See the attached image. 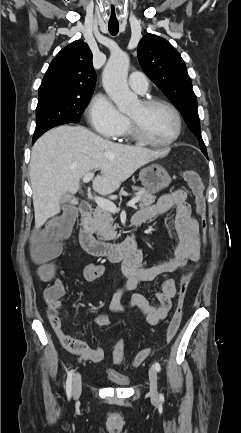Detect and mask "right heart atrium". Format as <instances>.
Segmentation results:
<instances>
[{"instance_id": "1", "label": "right heart atrium", "mask_w": 241, "mask_h": 433, "mask_svg": "<svg viewBox=\"0 0 241 433\" xmlns=\"http://www.w3.org/2000/svg\"><path fill=\"white\" fill-rule=\"evenodd\" d=\"M90 125L98 133L110 137H118L128 125L127 118L105 96H96L88 108Z\"/></svg>"}]
</instances>
